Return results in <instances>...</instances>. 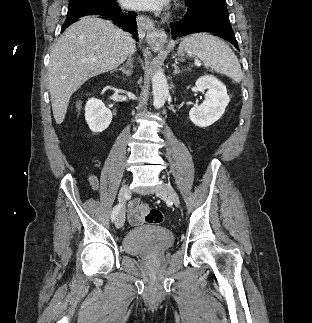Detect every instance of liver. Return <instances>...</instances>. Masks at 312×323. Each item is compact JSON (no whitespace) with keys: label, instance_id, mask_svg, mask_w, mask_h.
Wrapping results in <instances>:
<instances>
[{"label":"liver","instance_id":"1","mask_svg":"<svg viewBox=\"0 0 312 323\" xmlns=\"http://www.w3.org/2000/svg\"><path fill=\"white\" fill-rule=\"evenodd\" d=\"M130 54L126 32L110 20L84 16L69 26L50 50L48 84L56 124H62L70 98L82 84L116 70Z\"/></svg>","mask_w":312,"mask_h":323}]
</instances>
